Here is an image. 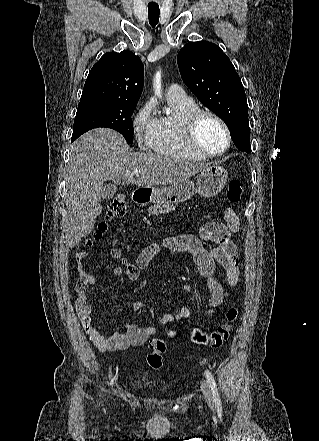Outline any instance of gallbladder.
I'll return each mask as SVG.
<instances>
[{
    "label": "gallbladder",
    "mask_w": 319,
    "mask_h": 441,
    "mask_svg": "<svg viewBox=\"0 0 319 441\" xmlns=\"http://www.w3.org/2000/svg\"><path fill=\"white\" fill-rule=\"evenodd\" d=\"M116 192V185L115 184H108L103 188L102 191V199L103 200H110Z\"/></svg>",
    "instance_id": "obj_1"
}]
</instances>
